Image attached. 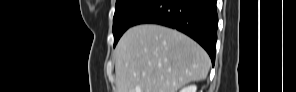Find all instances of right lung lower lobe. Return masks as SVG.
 <instances>
[{
	"label": "right lung lower lobe",
	"instance_id": "obj_1",
	"mask_svg": "<svg viewBox=\"0 0 296 92\" xmlns=\"http://www.w3.org/2000/svg\"><path fill=\"white\" fill-rule=\"evenodd\" d=\"M217 0H154L133 22L177 29L197 41L215 62Z\"/></svg>",
	"mask_w": 296,
	"mask_h": 92
}]
</instances>
